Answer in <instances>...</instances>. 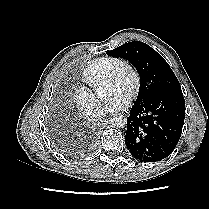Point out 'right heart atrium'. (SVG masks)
<instances>
[{
	"label": "right heart atrium",
	"instance_id": "obj_1",
	"mask_svg": "<svg viewBox=\"0 0 209 209\" xmlns=\"http://www.w3.org/2000/svg\"><path fill=\"white\" fill-rule=\"evenodd\" d=\"M72 99L77 109L89 119L101 117V102L89 88L79 87L75 89Z\"/></svg>",
	"mask_w": 209,
	"mask_h": 209
}]
</instances>
